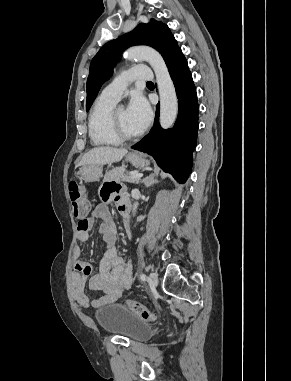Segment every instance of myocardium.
I'll return each instance as SVG.
<instances>
[{"label": "myocardium", "mask_w": 291, "mask_h": 381, "mask_svg": "<svg viewBox=\"0 0 291 381\" xmlns=\"http://www.w3.org/2000/svg\"><path fill=\"white\" fill-rule=\"evenodd\" d=\"M117 111H118V108L113 109L109 117V125L113 135L120 141H134L140 138L143 134V131H140L139 133L135 135H128L124 133L117 118Z\"/></svg>", "instance_id": "1"}]
</instances>
